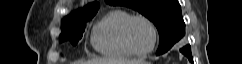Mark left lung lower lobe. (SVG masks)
Returning a JSON list of instances; mask_svg holds the SVG:
<instances>
[{"label":"left lung lower lobe","mask_w":242,"mask_h":64,"mask_svg":"<svg viewBox=\"0 0 242 64\" xmlns=\"http://www.w3.org/2000/svg\"><path fill=\"white\" fill-rule=\"evenodd\" d=\"M180 52L183 53L189 59L190 62H193L190 45L181 48Z\"/></svg>","instance_id":"1"}]
</instances>
